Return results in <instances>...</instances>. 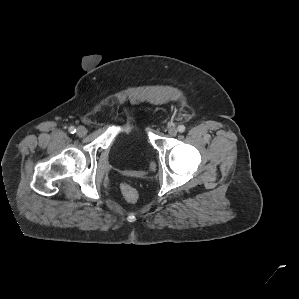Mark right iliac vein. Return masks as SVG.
Returning <instances> with one entry per match:
<instances>
[{
	"mask_svg": "<svg viewBox=\"0 0 299 299\" xmlns=\"http://www.w3.org/2000/svg\"><path fill=\"white\" fill-rule=\"evenodd\" d=\"M76 134L79 136V137H83L87 134V129L84 127V126H79L77 128V131H76Z\"/></svg>",
	"mask_w": 299,
	"mask_h": 299,
	"instance_id": "obj_1",
	"label": "right iliac vein"
}]
</instances>
